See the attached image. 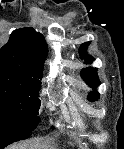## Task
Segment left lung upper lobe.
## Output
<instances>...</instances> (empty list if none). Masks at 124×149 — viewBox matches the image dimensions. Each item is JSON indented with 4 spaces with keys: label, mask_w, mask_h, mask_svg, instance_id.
<instances>
[{
    "label": "left lung upper lobe",
    "mask_w": 124,
    "mask_h": 149,
    "mask_svg": "<svg viewBox=\"0 0 124 149\" xmlns=\"http://www.w3.org/2000/svg\"><path fill=\"white\" fill-rule=\"evenodd\" d=\"M88 45H89V42H86L81 45L80 55H81V58H84L87 63H91L93 61V58L89 56L86 52ZM81 76L90 87L95 88L100 85L96 68L83 69L81 72ZM98 98H99V93H97L96 91H93L88 95V99L90 101H95Z\"/></svg>",
    "instance_id": "obj_1"
}]
</instances>
